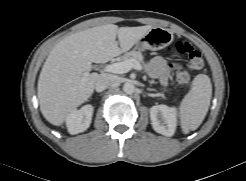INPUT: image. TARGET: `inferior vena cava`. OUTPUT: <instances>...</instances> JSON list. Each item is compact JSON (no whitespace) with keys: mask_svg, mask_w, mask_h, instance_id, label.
I'll use <instances>...</instances> for the list:
<instances>
[{"mask_svg":"<svg viewBox=\"0 0 246 181\" xmlns=\"http://www.w3.org/2000/svg\"><path fill=\"white\" fill-rule=\"evenodd\" d=\"M116 82V79L113 75L110 74H101L95 82V90L97 92H102L107 89L109 86L113 85Z\"/></svg>","mask_w":246,"mask_h":181,"instance_id":"obj_1","label":"inferior vena cava"}]
</instances>
